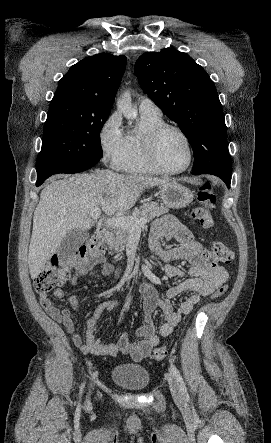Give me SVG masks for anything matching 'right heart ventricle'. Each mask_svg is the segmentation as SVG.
I'll use <instances>...</instances> for the list:
<instances>
[{"mask_svg":"<svg viewBox=\"0 0 271 443\" xmlns=\"http://www.w3.org/2000/svg\"><path fill=\"white\" fill-rule=\"evenodd\" d=\"M164 123L161 115L141 114L139 125L125 136V152L119 168L128 173H157L149 162L145 143L148 133L157 125Z\"/></svg>","mask_w":271,"mask_h":443,"instance_id":"1","label":"right heart ventricle"}]
</instances>
